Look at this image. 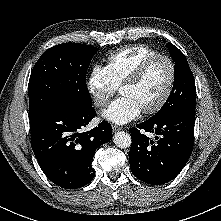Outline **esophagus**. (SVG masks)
Returning <instances> with one entry per match:
<instances>
[{"label": "esophagus", "mask_w": 221, "mask_h": 221, "mask_svg": "<svg viewBox=\"0 0 221 221\" xmlns=\"http://www.w3.org/2000/svg\"><path fill=\"white\" fill-rule=\"evenodd\" d=\"M112 129H113L114 132L122 130V128L120 126L116 125V124L112 125Z\"/></svg>", "instance_id": "34e87169"}]
</instances>
